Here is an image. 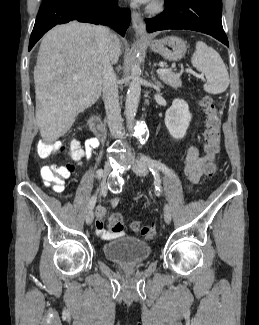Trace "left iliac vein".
Listing matches in <instances>:
<instances>
[{
	"instance_id": "1",
	"label": "left iliac vein",
	"mask_w": 259,
	"mask_h": 325,
	"mask_svg": "<svg viewBox=\"0 0 259 325\" xmlns=\"http://www.w3.org/2000/svg\"><path fill=\"white\" fill-rule=\"evenodd\" d=\"M132 170L139 176H146L148 174L147 166L137 159L132 161ZM164 220L167 224L171 222V208L168 204L164 206Z\"/></svg>"
}]
</instances>
